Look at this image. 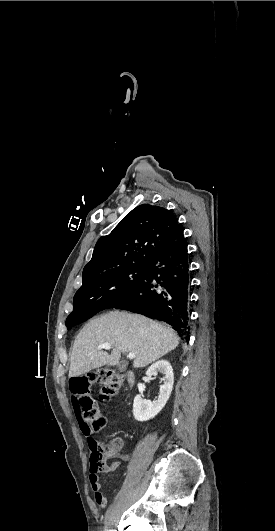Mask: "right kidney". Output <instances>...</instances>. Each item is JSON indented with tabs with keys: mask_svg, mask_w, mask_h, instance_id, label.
<instances>
[{
	"mask_svg": "<svg viewBox=\"0 0 275 531\" xmlns=\"http://www.w3.org/2000/svg\"><path fill=\"white\" fill-rule=\"evenodd\" d=\"M158 371L165 375V381L160 387L158 401L152 403L147 399H142L141 395H136L133 403V415L136 421H149L154 419L161 409L165 407L173 389L174 373L169 361L161 359L157 363H153L146 371L147 377H156Z\"/></svg>",
	"mask_w": 275,
	"mask_h": 531,
	"instance_id": "right-kidney-1",
	"label": "right kidney"
}]
</instances>
